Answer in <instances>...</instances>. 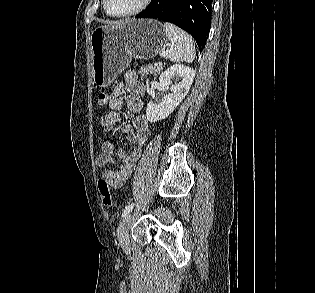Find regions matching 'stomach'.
Segmentation results:
<instances>
[{
	"mask_svg": "<svg viewBox=\"0 0 315 293\" xmlns=\"http://www.w3.org/2000/svg\"><path fill=\"white\" fill-rule=\"evenodd\" d=\"M167 40L162 23L152 19L128 20L95 28L90 36L94 84L110 85L132 58L148 60L155 57Z\"/></svg>",
	"mask_w": 315,
	"mask_h": 293,
	"instance_id": "0dacf381",
	"label": "stomach"
}]
</instances>
